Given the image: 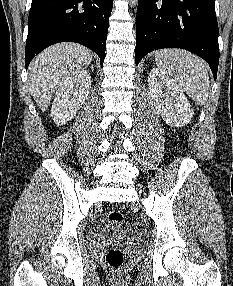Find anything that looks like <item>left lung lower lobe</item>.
<instances>
[{"label":"left lung lower lobe","mask_w":233,"mask_h":286,"mask_svg":"<svg viewBox=\"0 0 233 286\" xmlns=\"http://www.w3.org/2000/svg\"><path fill=\"white\" fill-rule=\"evenodd\" d=\"M214 0H139L135 63L161 48H182L208 62L214 79L219 63Z\"/></svg>","instance_id":"1"}]
</instances>
